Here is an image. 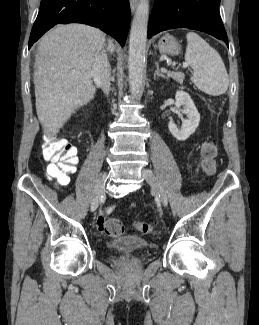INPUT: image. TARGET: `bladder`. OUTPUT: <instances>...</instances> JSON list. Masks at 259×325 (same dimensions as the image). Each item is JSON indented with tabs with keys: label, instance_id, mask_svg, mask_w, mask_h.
Returning <instances> with one entry per match:
<instances>
[{
	"label": "bladder",
	"instance_id": "bladder-1",
	"mask_svg": "<svg viewBox=\"0 0 259 325\" xmlns=\"http://www.w3.org/2000/svg\"><path fill=\"white\" fill-rule=\"evenodd\" d=\"M149 248V244L136 236H124L111 241L108 249L111 252H141Z\"/></svg>",
	"mask_w": 259,
	"mask_h": 325
}]
</instances>
